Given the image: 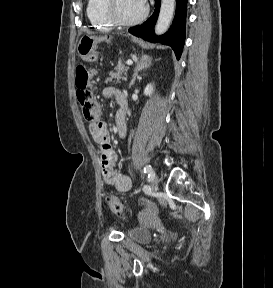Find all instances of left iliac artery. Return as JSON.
Wrapping results in <instances>:
<instances>
[{
    "label": "left iliac artery",
    "instance_id": "44dca946",
    "mask_svg": "<svg viewBox=\"0 0 273 288\" xmlns=\"http://www.w3.org/2000/svg\"><path fill=\"white\" fill-rule=\"evenodd\" d=\"M144 173H146L148 175V178L151 180L154 176V171L151 167V165H146L144 167Z\"/></svg>",
    "mask_w": 273,
    "mask_h": 288
}]
</instances>
